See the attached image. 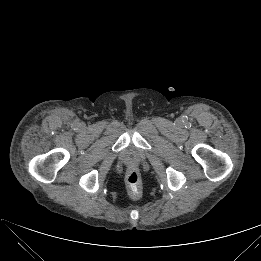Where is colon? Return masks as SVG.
<instances>
[{
    "label": "colon",
    "instance_id": "obj_1",
    "mask_svg": "<svg viewBox=\"0 0 261 261\" xmlns=\"http://www.w3.org/2000/svg\"><path fill=\"white\" fill-rule=\"evenodd\" d=\"M127 184L130 196L134 199L138 198L141 193V183L137 172L132 171L128 174Z\"/></svg>",
    "mask_w": 261,
    "mask_h": 261
}]
</instances>
